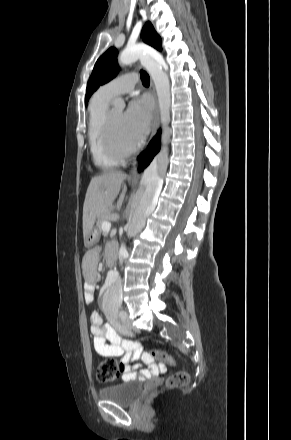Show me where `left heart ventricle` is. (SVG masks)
Segmentation results:
<instances>
[{"label": "left heart ventricle", "instance_id": "obj_1", "mask_svg": "<svg viewBox=\"0 0 291 440\" xmlns=\"http://www.w3.org/2000/svg\"><path fill=\"white\" fill-rule=\"evenodd\" d=\"M112 126H113V138L116 145L120 148H128L132 146L135 141L129 136L125 121L124 114L121 111L112 112Z\"/></svg>", "mask_w": 291, "mask_h": 440}]
</instances>
